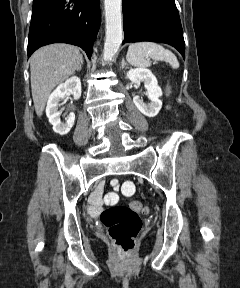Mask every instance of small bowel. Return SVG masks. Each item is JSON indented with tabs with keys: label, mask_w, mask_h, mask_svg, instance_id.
<instances>
[{
	"label": "small bowel",
	"mask_w": 240,
	"mask_h": 288,
	"mask_svg": "<svg viewBox=\"0 0 240 288\" xmlns=\"http://www.w3.org/2000/svg\"><path fill=\"white\" fill-rule=\"evenodd\" d=\"M128 184H131V183H128ZM112 185L115 191L119 190V185L117 181H112ZM102 195H103V186L100 185L96 189V191L92 194L91 199H90L89 212L92 215H96L99 212L101 205H102Z\"/></svg>",
	"instance_id": "1"
}]
</instances>
